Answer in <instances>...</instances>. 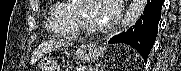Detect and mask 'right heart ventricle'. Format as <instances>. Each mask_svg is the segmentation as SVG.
<instances>
[{
    "label": "right heart ventricle",
    "mask_w": 181,
    "mask_h": 71,
    "mask_svg": "<svg viewBox=\"0 0 181 71\" xmlns=\"http://www.w3.org/2000/svg\"><path fill=\"white\" fill-rule=\"evenodd\" d=\"M73 15V8L70 1H54L49 7L46 25L59 36H78L80 30L74 21Z\"/></svg>",
    "instance_id": "1"
}]
</instances>
